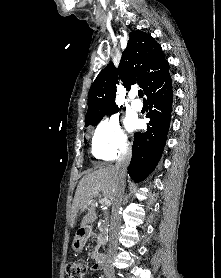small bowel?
Segmentation results:
<instances>
[{
  "instance_id": "1",
  "label": "small bowel",
  "mask_w": 221,
  "mask_h": 278,
  "mask_svg": "<svg viewBox=\"0 0 221 278\" xmlns=\"http://www.w3.org/2000/svg\"><path fill=\"white\" fill-rule=\"evenodd\" d=\"M97 269H95V267H91L89 270V274H94L96 272Z\"/></svg>"
}]
</instances>
